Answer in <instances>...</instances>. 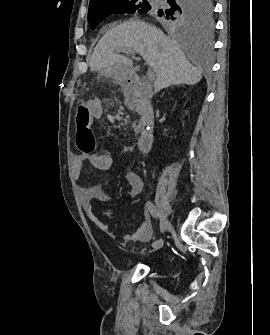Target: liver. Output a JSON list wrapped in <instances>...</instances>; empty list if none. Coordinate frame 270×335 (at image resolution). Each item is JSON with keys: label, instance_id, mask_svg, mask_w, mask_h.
Returning <instances> with one entry per match:
<instances>
[{"label": "liver", "instance_id": "1", "mask_svg": "<svg viewBox=\"0 0 270 335\" xmlns=\"http://www.w3.org/2000/svg\"><path fill=\"white\" fill-rule=\"evenodd\" d=\"M134 50L138 52L148 66L153 68L157 78L154 82L155 92L168 88L172 84H198L202 80L201 70L188 62L179 40L165 36L155 26L143 20H128L108 30L99 40L89 62L91 72H116L128 74L127 60L116 52Z\"/></svg>", "mask_w": 270, "mask_h": 335}]
</instances>
